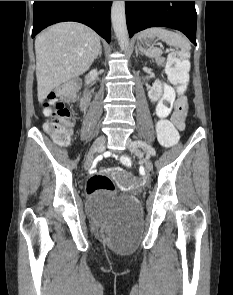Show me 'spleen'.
<instances>
[{"label": "spleen", "mask_w": 233, "mask_h": 295, "mask_svg": "<svg viewBox=\"0 0 233 295\" xmlns=\"http://www.w3.org/2000/svg\"><path fill=\"white\" fill-rule=\"evenodd\" d=\"M155 36H157L158 38H160L161 40H163L164 42H166L167 44L171 46L180 48L184 56H187L190 50V45L187 42V40L180 34L161 28V27L148 28L140 32L138 35V40H141L147 37H155ZM138 46H139V43H138ZM140 49L146 56L150 58H156L162 54V51L158 48H149L146 50L140 47Z\"/></svg>", "instance_id": "spleen-1"}]
</instances>
